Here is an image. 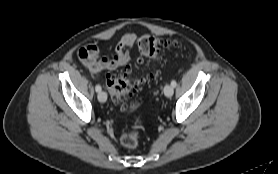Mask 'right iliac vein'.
Here are the masks:
<instances>
[{"label":"right iliac vein","mask_w":278,"mask_h":174,"mask_svg":"<svg viewBox=\"0 0 278 174\" xmlns=\"http://www.w3.org/2000/svg\"><path fill=\"white\" fill-rule=\"evenodd\" d=\"M98 100H99L100 102H105V101L107 100V94H106V92L100 91V92L98 93Z\"/></svg>","instance_id":"right-iliac-vein-1"}]
</instances>
